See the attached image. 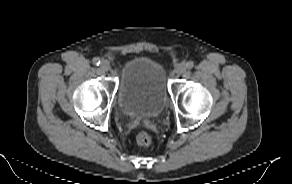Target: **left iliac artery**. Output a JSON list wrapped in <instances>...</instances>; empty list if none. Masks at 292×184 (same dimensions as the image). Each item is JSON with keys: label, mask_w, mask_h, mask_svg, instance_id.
Segmentation results:
<instances>
[{"label": "left iliac artery", "mask_w": 292, "mask_h": 184, "mask_svg": "<svg viewBox=\"0 0 292 184\" xmlns=\"http://www.w3.org/2000/svg\"><path fill=\"white\" fill-rule=\"evenodd\" d=\"M186 67L188 69H192L194 67V63L192 61H189V62L186 63Z\"/></svg>", "instance_id": "1"}]
</instances>
